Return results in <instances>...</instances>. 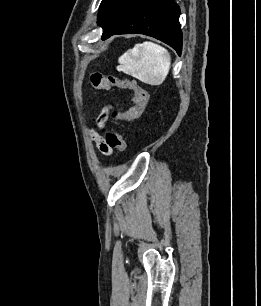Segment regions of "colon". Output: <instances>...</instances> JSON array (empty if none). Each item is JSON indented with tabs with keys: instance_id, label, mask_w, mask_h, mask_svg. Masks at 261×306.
I'll use <instances>...</instances> for the list:
<instances>
[{
	"instance_id": "colon-1",
	"label": "colon",
	"mask_w": 261,
	"mask_h": 306,
	"mask_svg": "<svg viewBox=\"0 0 261 306\" xmlns=\"http://www.w3.org/2000/svg\"><path fill=\"white\" fill-rule=\"evenodd\" d=\"M90 82L95 89L100 91H108L111 88L117 87L124 90H131L133 92L134 105L131 108L125 111L118 109L112 111V118L117 124L140 118L148 107L150 100L148 91L138 85V83L133 79H119L115 76L93 73L90 76ZM106 143L112 149H117L121 152L127 150V144L121 134L120 128L107 133Z\"/></svg>"
}]
</instances>
